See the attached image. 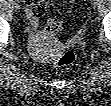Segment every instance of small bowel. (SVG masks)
<instances>
[{"label": "small bowel", "instance_id": "c3829d8e", "mask_svg": "<svg viewBox=\"0 0 111 106\" xmlns=\"http://www.w3.org/2000/svg\"><path fill=\"white\" fill-rule=\"evenodd\" d=\"M24 3L31 23V34L35 37L34 28L37 25L38 17H40L46 10V4L43 0H26Z\"/></svg>", "mask_w": 111, "mask_h": 106}]
</instances>
